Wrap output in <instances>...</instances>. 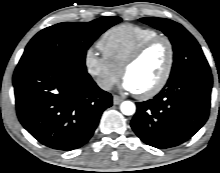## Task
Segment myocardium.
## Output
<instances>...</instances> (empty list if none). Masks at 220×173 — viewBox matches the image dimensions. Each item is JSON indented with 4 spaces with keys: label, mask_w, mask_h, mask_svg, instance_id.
I'll list each match as a JSON object with an SVG mask.
<instances>
[{
    "label": "myocardium",
    "mask_w": 220,
    "mask_h": 173,
    "mask_svg": "<svg viewBox=\"0 0 220 173\" xmlns=\"http://www.w3.org/2000/svg\"><path fill=\"white\" fill-rule=\"evenodd\" d=\"M159 42H164L167 45L168 48V61L166 68L163 72V75L161 78L157 81V83L151 87L149 90L137 93V97L142 100L150 99L158 95L166 86L168 83L173 67H174V61H175V50L172 41L167 37L163 35L155 36L144 43H142L140 46H138L134 52L128 57V59L125 61L123 67H122V76L125 77L127 71L136 63L138 62L143 55L154 45H156Z\"/></svg>",
    "instance_id": "obj_1"
}]
</instances>
